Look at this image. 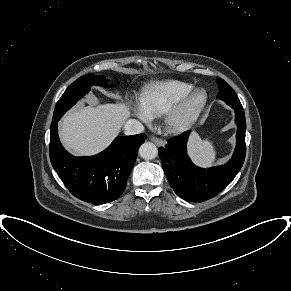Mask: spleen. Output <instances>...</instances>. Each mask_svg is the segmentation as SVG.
Masks as SVG:
<instances>
[{"label": "spleen", "instance_id": "obj_1", "mask_svg": "<svg viewBox=\"0 0 291 291\" xmlns=\"http://www.w3.org/2000/svg\"><path fill=\"white\" fill-rule=\"evenodd\" d=\"M189 154L198 165L204 167L211 166L216 160L213 144L197 135H193L190 140Z\"/></svg>", "mask_w": 291, "mask_h": 291}]
</instances>
